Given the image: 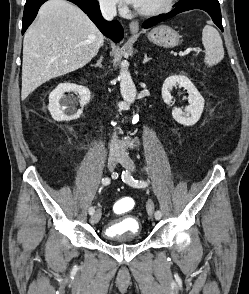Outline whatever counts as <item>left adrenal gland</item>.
Wrapping results in <instances>:
<instances>
[{"label": "left adrenal gland", "instance_id": "1", "mask_svg": "<svg viewBox=\"0 0 249 294\" xmlns=\"http://www.w3.org/2000/svg\"><path fill=\"white\" fill-rule=\"evenodd\" d=\"M151 58H148L147 54H144L143 64L147 63Z\"/></svg>", "mask_w": 249, "mask_h": 294}]
</instances>
